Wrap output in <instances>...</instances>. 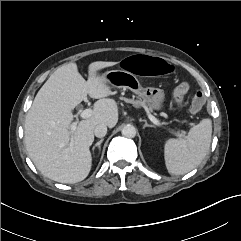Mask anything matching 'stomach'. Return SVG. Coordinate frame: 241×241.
Here are the masks:
<instances>
[{"label":"stomach","mask_w":241,"mask_h":241,"mask_svg":"<svg viewBox=\"0 0 241 241\" xmlns=\"http://www.w3.org/2000/svg\"><path fill=\"white\" fill-rule=\"evenodd\" d=\"M104 78L109 85L118 88H127L137 94L151 110H160L163 107L164 91L155 87L143 88L137 75L124 69L106 72Z\"/></svg>","instance_id":"stomach-1"}]
</instances>
